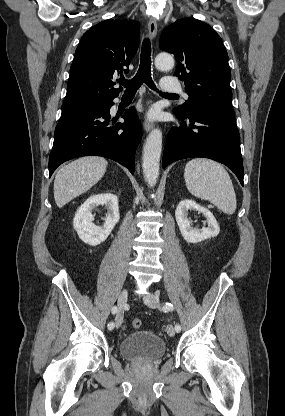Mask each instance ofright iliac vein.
<instances>
[{
	"label": "right iliac vein",
	"mask_w": 285,
	"mask_h": 416,
	"mask_svg": "<svg viewBox=\"0 0 285 416\" xmlns=\"http://www.w3.org/2000/svg\"><path fill=\"white\" fill-rule=\"evenodd\" d=\"M127 299H128V290L127 289H123L118 297V312L116 315V327L118 328L122 322H123V318H124V307L127 303Z\"/></svg>",
	"instance_id": "1"
}]
</instances>
